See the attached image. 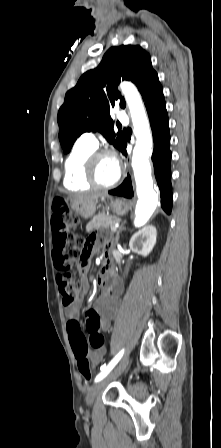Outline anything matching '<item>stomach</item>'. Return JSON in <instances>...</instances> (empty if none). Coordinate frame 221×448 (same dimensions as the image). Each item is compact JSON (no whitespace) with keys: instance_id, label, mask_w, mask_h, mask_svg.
I'll list each match as a JSON object with an SVG mask.
<instances>
[{"instance_id":"1","label":"stomach","mask_w":221,"mask_h":448,"mask_svg":"<svg viewBox=\"0 0 221 448\" xmlns=\"http://www.w3.org/2000/svg\"><path fill=\"white\" fill-rule=\"evenodd\" d=\"M110 203L109 206L112 209V211L117 215H124L127 213L130 209V204L128 201L124 199H113L111 197H106ZM73 209L77 214L84 218L91 217L96 209V202H91L86 205H72Z\"/></svg>"}]
</instances>
